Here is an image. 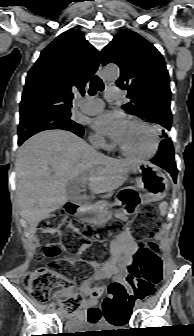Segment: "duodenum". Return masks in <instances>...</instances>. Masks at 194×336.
Segmentation results:
<instances>
[{"mask_svg":"<svg viewBox=\"0 0 194 336\" xmlns=\"http://www.w3.org/2000/svg\"><path fill=\"white\" fill-rule=\"evenodd\" d=\"M66 209L69 213L75 214L76 212L80 211L81 206L79 204H75V203H68L66 205Z\"/></svg>","mask_w":194,"mask_h":336,"instance_id":"410a0bca","label":"duodenum"}]
</instances>
